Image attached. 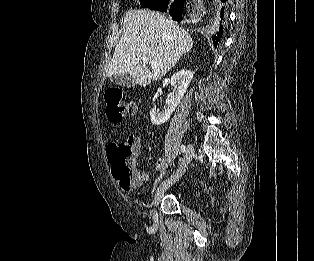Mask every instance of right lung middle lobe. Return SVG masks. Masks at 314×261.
Returning <instances> with one entry per match:
<instances>
[{
	"instance_id": "obj_1",
	"label": "right lung middle lobe",
	"mask_w": 314,
	"mask_h": 261,
	"mask_svg": "<svg viewBox=\"0 0 314 261\" xmlns=\"http://www.w3.org/2000/svg\"><path fill=\"white\" fill-rule=\"evenodd\" d=\"M142 7H150L152 5H155L162 0H139Z\"/></svg>"
}]
</instances>
